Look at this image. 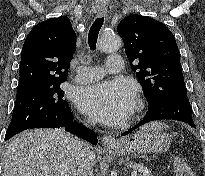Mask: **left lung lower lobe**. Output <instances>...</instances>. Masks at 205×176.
<instances>
[{
  "label": "left lung lower lobe",
  "mask_w": 205,
  "mask_h": 176,
  "mask_svg": "<svg viewBox=\"0 0 205 176\" xmlns=\"http://www.w3.org/2000/svg\"><path fill=\"white\" fill-rule=\"evenodd\" d=\"M191 112L192 108L187 97V91H173L168 97L149 103L148 111L144 119L122 135L124 136L139 126L154 120H178L186 122L196 128L192 120Z\"/></svg>",
  "instance_id": "0a47b994"
}]
</instances>
